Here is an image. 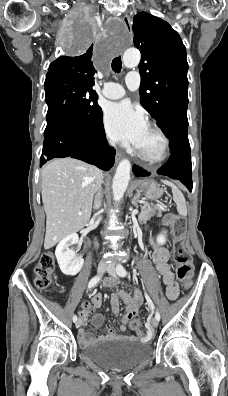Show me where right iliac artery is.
Returning a JSON list of instances; mask_svg holds the SVG:
<instances>
[{
    "label": "right iliac artery",
    "mask_w": 228,
    "mask_h": 396,
    "mask_svg": "<svg viewBox=\"0 0 228 396\" xmlns=\"http://www.w3.org/2000/svg\"><path fill=\"white\" fill-rule=\"evenodd\" d=\"M100 279H101V276L93 277L88 283V288L94 287L99 282ZM76 321H77V316L74 315L73 316V322H76Z\"/></svg>",
    "instance_id": "obj_1"
}]
</instances>
